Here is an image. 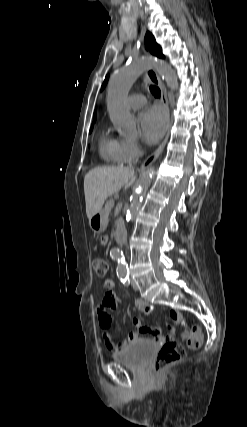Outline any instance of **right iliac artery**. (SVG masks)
Instances as JSON below:
<instances>
[{
    "mask_svg": "<svg viewBox=\"0 0 247 427\" xmlns=\"http://www.w3.org/2000/svg\"><path fill=\"white\" fill-rule=\"evenodd\" d=\"M119 278H120L121 282L124 283V284L125 283L129 284V282H130V280H129V274H121L119 276Z\"/></svg>",
    "mask_w": 247,
    "mask_h": 427,
    "instance_id": "1",
    "label": "right iliac artery"
}]
</instances>
